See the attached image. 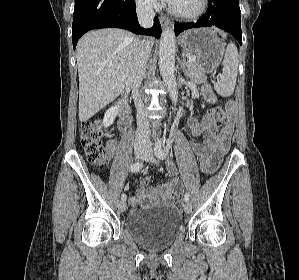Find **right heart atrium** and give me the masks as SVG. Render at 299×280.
<instances>
[{"label": "right heart atrium", "instance_id": "1", "mask_svg": "<svg viewBox=\"0 0 299 280\" xmlns=\"http://www.w3.org/2000/svg\"><path fill=\"white\" fill-rule=\"evenodd\" d=\"M137 1L141 6L149 9H154L159 6L158 0H137Z\"/></svg>", "mask_w": 299, "mask_h": 280}]
</instances>
